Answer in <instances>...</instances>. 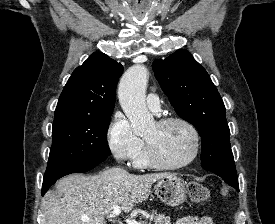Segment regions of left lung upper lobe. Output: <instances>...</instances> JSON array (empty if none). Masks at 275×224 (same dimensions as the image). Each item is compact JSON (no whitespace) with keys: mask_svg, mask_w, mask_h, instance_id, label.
<instances>
[{"mask_svg":"<svg viewBox=\"0 0 275 224\" xmlns=\"http://www.w3.org/2000/svg\"><path fill=\"white\" fill-rule=\"evenodd\" d=\"M152 67L176 113L201 136L202 168L224 181L237 180L226 109L206 70L183 49L155 60Z\"/></svg>","mask_w":275,"mask_h":224,"instance_id":"5c2ea615","label":"left lung upper lobe"}]
</instances>
